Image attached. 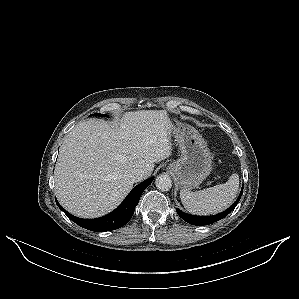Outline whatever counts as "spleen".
I'll list each match as a JSON object with an SVG mask.
<instances>
[{
	"label": "spleen",
	"instance_id": "1",
	"mask_svg": "<svg viewBox=\"0 0 299 299\" xmlns=\"http://www.w3.org/2000/svg\"><path fill=\"white\" fill-rule=\"evenodd\" d=\"M239 188V176L234 173L224 184L190 192L180 190V198L185 209L196 215L215 214L225 210L235 199Z\"/></svg>",
	"mask_w": 299,
	"mask_h": 299
}]
</instances>
